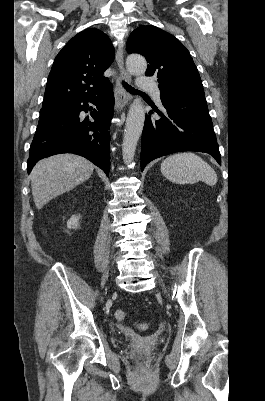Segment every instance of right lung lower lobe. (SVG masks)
<instances>
[{
    "label": "right lung lower lobe",
    "instance_id": "1",
    "mask_svg": "<svg viewBox=\"0 0 265 401\" xmlns=\"http://www.w3.org/2000/svg\"><path fill=\"white\" fill-rule=\"evenodd\" d=\"M88 102L97 106L91 113V121L87 118L83 120L79 116L82 110L88 111ZM113 112V86L108 84L98 96L85 97L67 109L40 113L27 161L28 173L42 158L60 153H74L89 159L108 175L109 127Z\"/></svg>",
    "mask_w": 265,
    "mask_h": 401
}]
</instances>
